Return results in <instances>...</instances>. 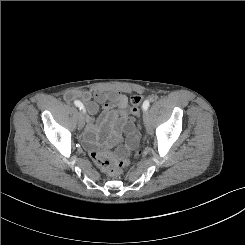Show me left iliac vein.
Returning <instances> with one entry per match:
<instances>
[{
    "instance_id": "obj_1",
    "label": "left iliac vein",
    "mask_w": 245,
    "mask_h": 245,
    "mask_svg": "<svg viewBox=\"0 0 245 245\" xmlns=\"http://www.w3.org/2000/svg\"><path fill=\"white\" fill-rule=\"evenodd\" d=\"M143 120L146 126V130L148 134L152 133V124H151V119L148 116V113L146 111L143 112Z\"/></svg>"
}]
</instances>
